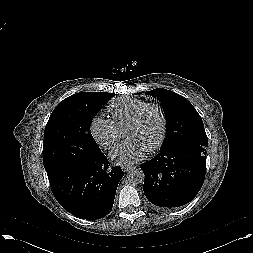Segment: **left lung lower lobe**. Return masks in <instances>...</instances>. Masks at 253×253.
I'll use <instances>...</instances> for the list:
<instances>
[{"mask_svg":"<svg viewBox=\"0 0 253 253\" xmlns=\"http://www.w3.org/2000/svg\"><path fill=\"white\" fill-rule=\"evenodd\" d=\"M206 146L182 143L160 152L140 168L144 194L154 205L175 208L189 203L200 191L206 170Z\"/></svg>","mask_w":253,"mask_h":253,"instance_id":"1","label":"left lung lower lobe"}]
</instances>
